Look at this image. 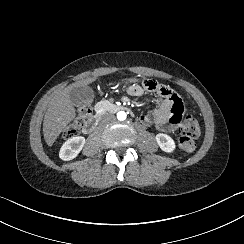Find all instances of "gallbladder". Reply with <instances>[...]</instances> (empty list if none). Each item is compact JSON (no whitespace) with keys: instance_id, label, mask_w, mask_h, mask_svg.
Here are the masks:
<instances>
[{"instance_id":"obj_1","label":"gallbladder","mask_w":244,"mask_h":244,"mask_svg":"<svg viewBox=\"0 0 244 244\" xmlns=\"http://www.w3.org/2000/svg\"><path fill=\"white\" fill-rule=\"evenodd\" d=\"M70 99L76 107L89 106L95 99L92 88L74 87L70 92Z\"/></svg>"}]
</instances>
